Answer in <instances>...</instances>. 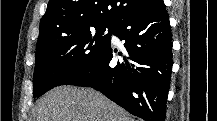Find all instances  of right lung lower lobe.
Instances as JSON below:
<instances>
[{
    "label": "right lung lower lobe",
    "mask_w": 217,
    "mask_h": 121,
    "mask_svg": "<svg viewBox=\"0 0 217 121\" xmlns=\"http://www.w3.org/2000/svg\"><path fill=\"white\" fill-rule=\"evenodd\" d=\"M111 45L92 67L69 85L92 87L145 121H164L172 72V34L163 0H147L121 19ZM121 58L116 60V55Z\"/></svg>",
    "instance_id": "98d812e1"
}]
</instances>
